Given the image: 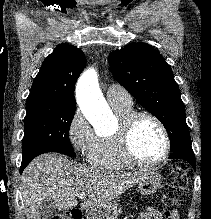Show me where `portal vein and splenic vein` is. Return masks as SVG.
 Segmentation results:
<instances>
[{
	"label": "portal vein and splenic vein",
	"mask_w": 211,
	"mask_h": 219,
	"mask_svg": "<svg viewBox=\"0 0 211 219\" xmlns=\"http://www.w3.org/2000/svg\"><path fill=\"white\" fill-rule=\"evenodd\" d=\"M77 197L80 198V199H84V198H86V194L85 193H80V194H77Z\"/></svg>",
	"instance_id": "18ae733b"
}]
</instances>
